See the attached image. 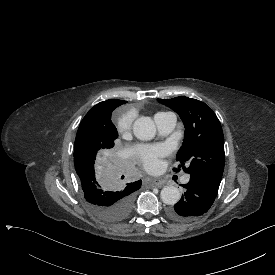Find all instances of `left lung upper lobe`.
Returning <instances> with one entry per match:
<instances>
[{
  "mask_svg": "<svg viewBox=\"0 0 275 275\" xmlns=\"http://www.w3.org/2000/svg\"><path fill=\"white\" fill-rule=\"evenodd\" d=\"M158 101L177 112L185 126L184 141L176 156L179 168L190 175H207L221 180L224 139L215 113L205 103L185 96ZM179 168L173 170L177 172Z\"/></svg>",
  "mask_w": 275,
  "mask_h": 275,
  "instance_id": "5c2ea615",
  "label": "left lung upper lobe"
}]
</instances>
